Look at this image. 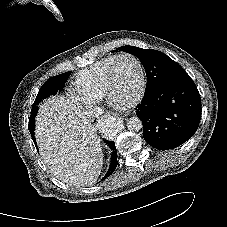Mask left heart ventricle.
Listing matches in <instances>:
<instances>
[{
	"instance_id": "left-heart-ventricle-1",
	"label": "left heart ventricle",
	"mask_w": 227,
	"mask_h": 227,
	"mask_svg": "<svg viewBox=\"0 0 227 227\" xmlns=\"http://www.w3.org/2000/svg\"><path fill=\"white\" fill-rule=\"evenodd\" d=\"M140 81V70L136 62L131 58L120 60L114 72L115 100L120 103L131 101L139 91Z\"/></svg>"
}]
</instances>
